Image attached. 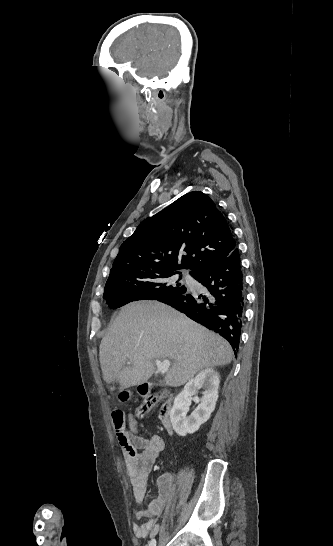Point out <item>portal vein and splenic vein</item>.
I'll return each instance as SVG.
<instances>
[{
  "label": "portal vein and splenic vein",
  "instance_id": "obj_1",
  "mask_svg": "<svg viewBox=\"0 0 333 546\" xmlns=\"http://www.w3.org/2000/svg\"><path fill=\"white\" fill-rule=\"evenodd\" d=\"M155 364L157 366V369L162 373V374H165L169 367H170V360L169 359H164L163 361L159 360V359H155Z\"/></svg>",
  "mask_w": 333,
  "mask_h": 546
}]
</instances>
